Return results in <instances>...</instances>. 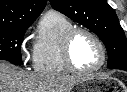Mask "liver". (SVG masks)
I'll use <instances>...</instances> for the list:
<instances>
[{
    "instance_id": "1",
    "label": "liver",
    "mask_w": 127,
    "mask_h": 92,
    "mask_svg": "<svg viewBox=\"0 0 127 92\" xmlns=\"http://www.w3.org/2000/svg\"><path fill=\"white\" fill-rule=\"evenodd\" d=\"M84 78L30 74L0 61V92H70Z\"/></svg>"
}]
</instances>
